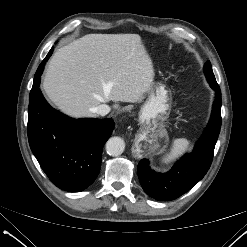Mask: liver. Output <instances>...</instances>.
Segmentation results:
<instances>
[{
	"label": "liver",
	"mask_w": 247,
	"mask_h": 247,
	"mask_svg": "<svg viewBox=\"0 0 247 247\" xmlns=\"http://www.w3.org/2000/svg\"><path fill=\"white\" fill-rule=\"evenodd\" d=\"M154 77L152 59L138 34H88L54 53L43 89L63 113L95 117L93 109L101 103L137 102Z\"/></svg>",
	"instance_id": "obj_1"
}]
</instances>
